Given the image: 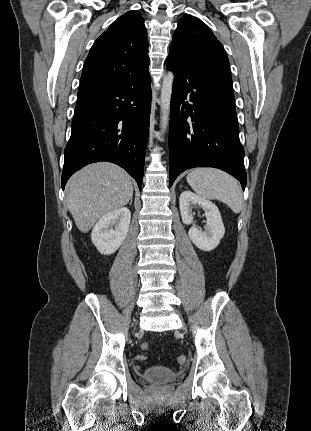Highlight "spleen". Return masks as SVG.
Masks as SVG:
<instances>
[{
  "label": "spleen",
  "instance_id": "spleen-1",
  "mask_svg": "<svg viewBox=\"0 0 311 431\" xmlns=\"http://www.w3.org/2000/svg\"><path fill=\"white\" fill-rule=\"evenodd\" d=\"M186 180L192 190L206 200H220L231 208L234 214H240L243 204L241 188L232 176L215 168H195Z\"/></svg>",
  "mask_w": 311,
  "mask_h": 431
}]
</instances>
